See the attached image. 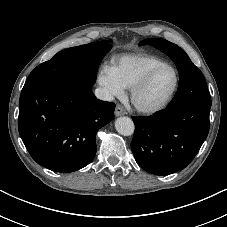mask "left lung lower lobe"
Instances as JSON below:
<instances>
[{"instance_id": "left-lung-lower-lobe-1", "label": "left lung lower lobe", "mask_w": 227, "mask_h": 227, "mask_svg": "<svg viewBox=\"0 0 227 227\" xmlns=\"http://www.w3.org/2000/svg\"><path fill=\"white\" fill-rule=\"evenodd\" d=\"M208 107H168L150 117H133L131 149L138 165L155 175L184 169L196 156L210 127Z\"/></svg>"}]
</instances>
